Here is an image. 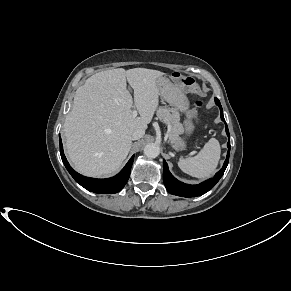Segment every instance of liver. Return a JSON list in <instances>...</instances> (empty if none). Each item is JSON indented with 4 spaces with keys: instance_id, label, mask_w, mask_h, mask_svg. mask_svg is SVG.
<instances>
[{
    "instance_id": "obj_1",
    "label": "liver",
    "mask_w": 291,
    "mask_h": 291,
    "mask_svg": "<svg viewBox=\"0 0 291 291\" xmlns=\"http://www.w3.org/2000/svg\"><path fill=\"white\" fill-rule=\"evenodd\" d=\"M163 72L123 68L98 72L76 90L73 108L63 132L67 155L74 169L90 177L117 171L131 148L136 129H147L159 104L158 79ZM134 90L139 117H133Z\"/></svg>"
}]
</instances>
